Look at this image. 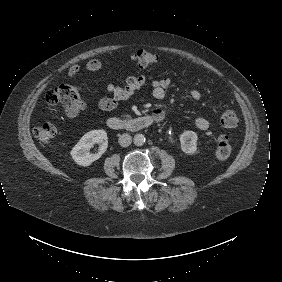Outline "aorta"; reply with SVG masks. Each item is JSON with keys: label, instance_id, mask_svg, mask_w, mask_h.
Returning a JSON list of instances; mask_svg holds the SVG:
<instances>
[{"label": "aorta", "instance_id": "aorta-1", "mask_svg": "<svg viewBox=\"0 0 282 282\" xmlns=\"http://www.w3.org/2000/svg\"><path fill=\"white\" fill-rule=\"evenodd\" d=\"M146 138L143 134H135L133 137V143L135 146H142L145 144Z\"/></svg>", "mask_w": 282, "mask_h": 282}]
</instances>
